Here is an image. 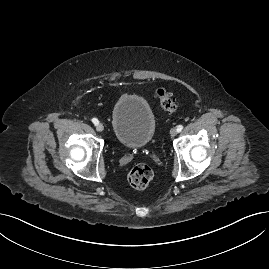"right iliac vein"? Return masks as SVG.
Listing matches in <instances>:
<instances>
[{
  "label": "right iliac vein",
  "mask_w": 269,
  "mask_h": 269,
  "mask_svg": "<svg viewBox=\"0 0 269 269\" xmlns=\"http://www.w3.org/2000/svg\"><path fill=\"white\" fill-rule=\"evenodd\" d=\"M96 130L98 132H102L104 130V126L101 123H99V124L96 125Z\"/></svg>",
  "instance_id": "obj_1"
}]
</instances>
